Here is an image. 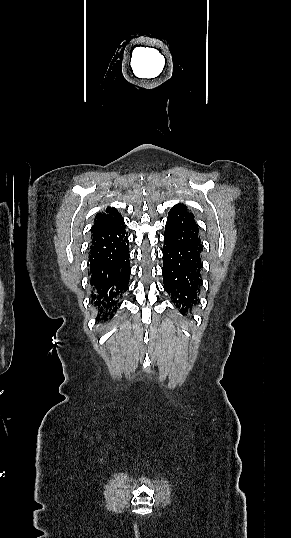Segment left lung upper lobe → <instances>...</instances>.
<instances>
[{
    "mask_svg": "<svg viewBox=\"0 0 291 538\" xmlns=\"http://www.w3.org/2000/svg\"><path fill=\"white\" fill-rule=\"evenodd\" d=\"M173 208L181 210V211H186V206L184 204H177Z\"/></svg>",
    "mask_w": 291,
    "mask_h": 538,
    "instance_id": "left-lung-upper-lobe-1",
    "label": "left lung upper lobe"
}]
</instances>
